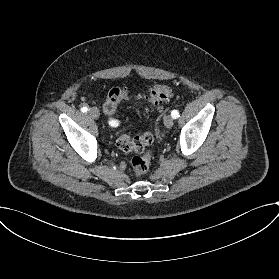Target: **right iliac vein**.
Masks as SVG:
<instances>
[{"mask_svg": "<svg viewBox=\"0 0 279 279\" xmlns=\"http://www.w3.org/2000/svg\"><path fill=\"white\" fill-rule=\"evenodd\" d=\"M89 114L95 119L99 118V110L96 107L90 108Z\"/></svg>", "mask_w": 279, "mask_h": 279, "instance_id": "right-iliac-vein-1", "label": "right iliac vein"}]
</instances>
